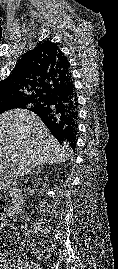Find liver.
<instances>
[{
  "label": "liver",
  "instance_id": "6515ba94",
  "mask_svg": "<svg viewBox=\"0 0 118 269\" xmlns=\"http://www.w3.org/2000/svg\"><path fill=\"white\" fill-rule=\"evenodd\" d=\"M68 153L34 113L15 109L0 115V175L11 164L25 175L44 164H60Z\"/></svg>",
  "mask_w": 118,
  "mask_h": 269
}]
</instances>
